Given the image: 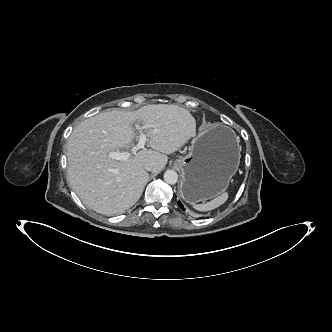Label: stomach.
I'll return each mask as SVG.
<instances>
[{
	"instance_id": "stomach-1",
	"label": "stomach",
	"mask_w": 332,
	"mask_h": 332,
	"mask_svg": "<svg viewBox=\"0 0 332 332\" xmlns=\"http://www.w3.org/2000/svg\"><path fill=\"white\" fill-rule=\"evenodd\" d=\"M240 158L239 140L230 128L220 126L199 134L189 153L174 161L182 171V199L194 204L225 193Z\"/></svg>"
}]
</instances>
